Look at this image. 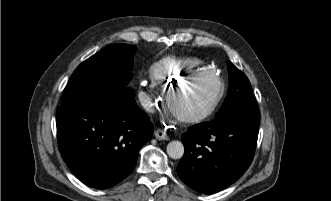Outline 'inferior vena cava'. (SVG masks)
<instances>
[{
  "label": "inferior vena cava",
  "instance_id": "obj_1",
  "mask_svg": "<svg viewBox=\"0 0 331 201\" xmlns=\"http://www.w3.org/2000/svg\"><path fill=\"white\" fill-rule=\"evenodd\" d=\"M140 102L147 111L152 112L154 110L153 102L149 96L142 95L140 97Z\"/></svg>",
  "mask_w": 331,
  "mask_h": 201
}]
</instances>
